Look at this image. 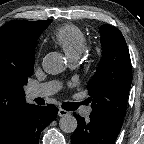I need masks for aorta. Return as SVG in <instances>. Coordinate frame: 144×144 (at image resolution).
I'll use <instances>...</instances> for the list:
<instances>
[{"label": "aorta", "mask_w": 144, "mask_h": 144, "mask_svg": "<svg viewBox=\"0 0 144 144\" xmlns=\"http://www.w3.org/2000/svg\"><path fill=\"white\" fill-rule=\"evenodd\" d=\"M64 63V58L60 53L50 52L43 58L42 67L46 73L55 75L64 70ZM77 125L76 118L71 114H65L59 121L60 129L65 133H73Z\"/></svg>", "instance_id": "762f6f07"}]
</instances>
